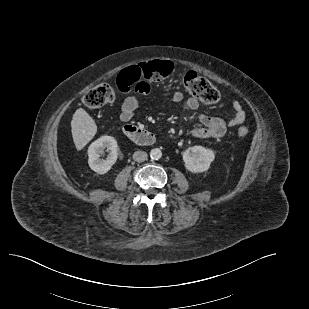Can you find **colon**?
I'll return each instance as SVG.
<instances>
[{
    "instance_id": "1",
    "label": "colon",
    "mask_w": 309,
    "mask_h": 309,
    "mask_svg": "<svg viewBox=\"0 0 309 309\" xmlns=\"http://www.w3.org/2000/svg\"><path fill=\"white\" fill-rule=\"evenodd\" d=\"M172 70L173 65L170 61L155 60L127 68L121 72V75H126L136 89L147 81H160L167 78ZM181 80L186 90L197 100L206 104L218 102L220 96L217 88L196 72L184 71ZM122 90H126V88ZM114 99V89L109 84H100L86 92L83 103L88 108L96 109L111 103ZM237 133L240 137H245L248 134V129L241 126Z\"/></svg>"
}]
</instances>
